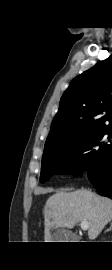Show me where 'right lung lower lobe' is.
<instances>
[{
  "label": "right lung lower lobe",
  "mask_w": 112,
  "mask_h": 270,
  "mask_svg": "<svg viewBox=\"0 0 112 270\" xmlns=\"http://www.w3.org/2000/svg\"><path fill=\"white\" fill-rule=\"evenodd\" d=\"M91 183L100 195L112 199V149L108 152L102 166L92 172H88Z\"/></svg>",
  "instance_id": "right-lung-lower-lobe-1"
}]
</instances>
